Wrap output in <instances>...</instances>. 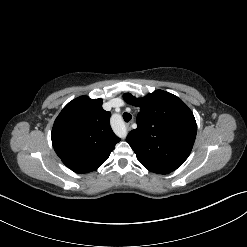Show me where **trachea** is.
<instances>
[{
    "label": "trachea",
    "mask_w": 247,
    "mask_h": 247,
    "mask_svg": "<svg viewBox=\"0 0 247 247\" xmlns=\"http://www.w3.org/2000/svg\"><path fill=\"white\" fill-rule=\"evenodd\" d=\"M123 118H124L125 122H129L132 119V115L125 112V113H123Z\"/></svg>",
    "instance_id": "trachea-1"
}]
</instances>
